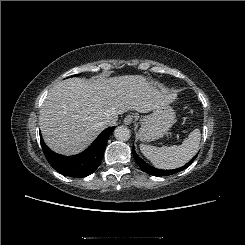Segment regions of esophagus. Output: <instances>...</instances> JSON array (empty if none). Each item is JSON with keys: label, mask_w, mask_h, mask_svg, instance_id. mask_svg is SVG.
<instances>
[{"label": "esophagus", "mask_w": 245, "mask_h": 245, "mask_svg": "<svg viewBox=\"0 0 245 245\" xmlns=\"http://www.w3.org/2000/svg\"><path fill=\"white\" fill-rule=\"evenodd\" d=\"M133 120H134V115H133V114H128V115L124 118L123 123H124L125 125H130V124L133 122Z\"/></svg>", "instance_id": "esophagus-1"}]
</instances>
